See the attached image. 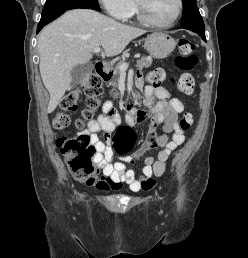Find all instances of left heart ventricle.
Here are the masks:
<instances>
[{"instance_id":"obj_1","label":"left heart ventricle","mask_w":248,"mask_h":258,"mask_svg":"<svg viewBox=\"0 0 248 258\" xmlns=\"http://www.w3.org/2000/svg\"><path fill=\"white\" fill-rule=\"evenodd\" d=\"M147 15L154 21L166 23L177 11V0H146Z\"/></svg>"}]
</instances>
